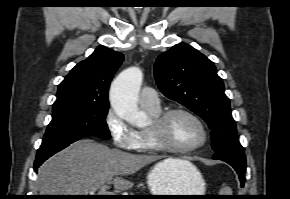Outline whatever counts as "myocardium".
Segmentation results:
<instances>
[{"label":"myocardium","mask_w":290,"mask_h":199,"mask_svg":"<svg viewBox=\"0 0 290 199\" xmlns=\"http://www.w3.org/2000/svg\"><path fill=\"white\" fill-rule=\"evenodd\" d=\"M175 114L186 115L193 119L199 125L202 131V140L198 144L188 148H181L174 146L166 141L163 136L165 133L166 125L169 119ZM148 132L151 137L152 143L159 151L180 155L191 154L201 149L206 145L209 137L207 127L203 120L193 111L182 107L167 109L158 114L157 116L153 117L151 125L148 128Z\"/></svg>","instance_id":"1"}]
</instances>
